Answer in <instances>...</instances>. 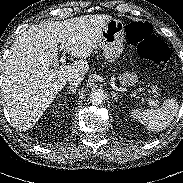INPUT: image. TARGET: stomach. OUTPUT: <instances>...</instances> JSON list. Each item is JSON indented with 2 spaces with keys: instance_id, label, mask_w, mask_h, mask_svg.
Segmentation results:
<instances>
[{
  "instance_id": "stomach-1",
  "label": "stomach",
  "mask_w": 183,
  "mask_h": 183,
  "mask_svg": "<svg viewBox=\"0 0 183 183\" xmlns=\"http://www.w3.org/2000/svg\"><path fill=\"white\" fill-rule=\"evenodd\" d=\"M124 34V25L117 19L110 20L102 29L98 40V46L103 50L108 61H114L123 52ZM118 79L120 84L124 86H132L138 81L137 75L130 72L123 73Z\"/></svg>"
}]
</instances>
